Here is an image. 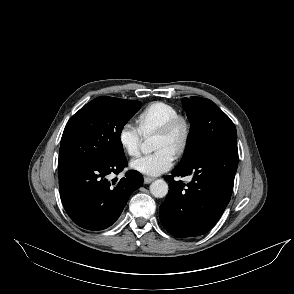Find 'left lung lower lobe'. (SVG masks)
<instances>
[{
  "label": "left lung lower lobe",
  "mask_w": 294,
  "mask_h": 294,
  "mask_svg": "<svg viewBox=\"0 0 294 294\" xmlns=\"http://www.w3.org/2000/svg\"><path fill=\"white\" fill-rule=\"evenodd\" d=\"M238 166L236 140L211 147L185 167H176L173 176L193 175L187 185L169 181V193L160 205V221L173 236L193 237L208 232L230 201Z\"/></svg>",
  "instance_id": "obj_1"
}]
</instances>
